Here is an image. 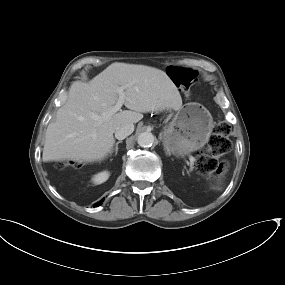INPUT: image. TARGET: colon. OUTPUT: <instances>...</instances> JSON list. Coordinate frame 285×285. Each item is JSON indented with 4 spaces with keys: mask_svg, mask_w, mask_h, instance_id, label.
Instances as JSON below:
<instances>
[{
    "mask_svg": "<svg viewBox=\"0 0 285 285\" xmlns=\"http://www.w3.org/2000/svg\"><path fill=\"white\" fill-rule=\"evenodd\" d=\"M168 72L178 83L181 80H189L191 70L183 69L177 66H169ZM230 126L224 122L218 123L214 128V133L210 137L208 145L202 149L196 159L197 169L207 178L223 174L227 169V164L219 159L221 155L226 154L230 150V142L228 134ZM68 164L60 162L59 167L64 168Z\"/></svg>",
    "mask_w": 285,
    "mask_h": 285,
    "instance_id": "colon-1",
    "label": "colon"
}]
</instances>
